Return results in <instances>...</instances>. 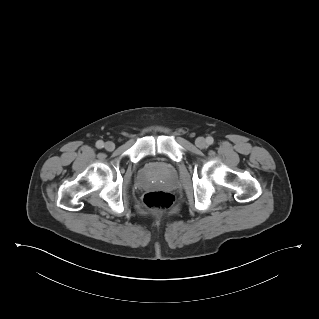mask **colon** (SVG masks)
Returning <instances> with one entry per match:
<instances>
[{"label":"colon","instance_id":"1","mask_svg":"<svg viewBox=\"0 0 319 319\" xmlns=\"http://www.w3.org/2000/svg\"><path fill=\"white\" fill-rule=\"evenodd\" d=\"M142 200L147 208L154 211H161L172 205L174 197L166 191H149L143 195Z\"/></svg>","mask_w":319,"mask_h":319}]
</instances>
